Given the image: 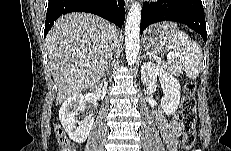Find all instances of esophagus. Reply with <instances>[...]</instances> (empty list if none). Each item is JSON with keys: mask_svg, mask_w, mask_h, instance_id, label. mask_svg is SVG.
<instances>
[{"mask_svg": "<svg viewBox=\"0 0 231 151\" xmlns=\"http://www.w3.org/2000/svg\"><path fill=\"white\" fill-rule=\"evenodd\" d=\"M131 3H132V0H126L125 1L126 8H129V6H130Z\"/></svg>", "mask_w": 231, "mask_h": 151, "instance_id": "1", "label": "esophagus"}]
</instances>
